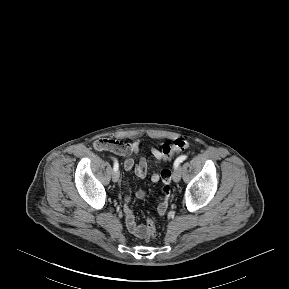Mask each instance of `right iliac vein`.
Here are the masks:
<instances>
[{
	"label": "right iliac vein",
	"instance_id": "obj_1",
	"mask_svg": "<svg viewBox=\"0 0 289 289\" xmlns=\"http://www.w3.org/2000/svg\"><path fill=\"white\" fill-rule=\"evenodd\" d=\"M119 177H120V174H119L118 171H114V172L112 173V180H113V182H118Z\"/></svg>",
	"mask_w": 289,
	"mask_h": 289
}]
</instances>
